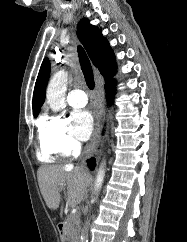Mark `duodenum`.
Masks as SVG:
<instances>
[{
    "instance_id": "1",
    "label": "duodenum",
    "mask_w": 187,
    "mask_h": 242,
    "mask_svg": "<svg viewBox=\"0 0 187 242\" xmlns=\"http://www.w3.org/2000/svg\"><path fill=\"white\" fill-rule=\"evenodd\" d=\"M57 229H58L59 234L62 236L64 234V224L59 223L57 226Z\"/></svg>"
}]
</instances>
